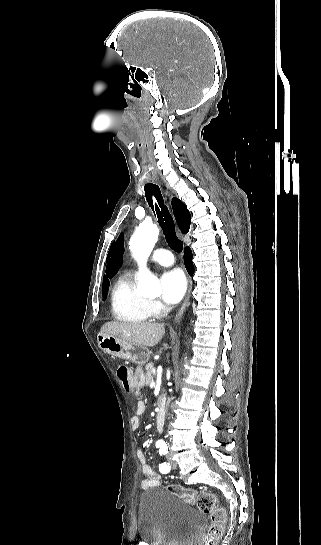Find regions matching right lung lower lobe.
Returning <instances> with one entry per match:
<instances>
[{
  "label": "right lung lower lobe",
  "mask_w": 321,
  "mask_h": 545,
  "mask_svg": "<svg viewBox=\"0 0 321 545\" xmlns=\"http://www.w3.org/2000/svg\"><path fill=\"white\" fill-rule=\"evenodd\" d=\"M184 264L190 275L194 273V266L192 262V252L189 247H186L184 250Z\"/></svg>",
  "instance_id": "1"
}]
</instances>
